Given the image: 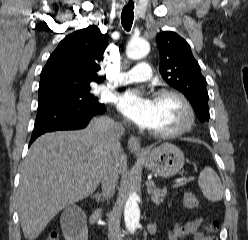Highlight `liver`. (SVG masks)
<instances>
[{"label": "liver", "mask_w": 248, "mask_h": 240, "mask_svg": "<svg viewBox=\"0 0 248 240\" xmlns=\"http://www.w3.org/2000/svg\"><path fill=\"white\" fill-rule=\"evenodd\" d=\"M110 122L106 117L93 118L83 130L46 133L32 144L22 164L18 189L26 239H36L57 213L97 189L103 176ZM113 155L121 172L126 156L121 147Z\"/></svg>", "instance_id": "liver-1"}]
</instances>
